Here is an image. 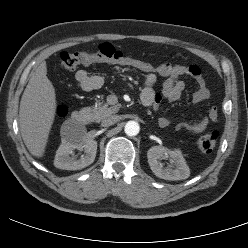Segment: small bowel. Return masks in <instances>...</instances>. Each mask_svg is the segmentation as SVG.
<instances>
[{
  "mask_svg": "<svg viewBox=\"0 0 248 248\" xmlns=\"http://www.w3.org/2000/svg\"><path fill=\"white\" fill-rule=\"evenodd\" d=\"M183 75L191 76L196 84L197 90L192 95L194 103L206 102L210 99V92L207 88L203 72L200 66L196 64H171L162 63L157 65L153 72L144 73V88L141 93V99L147 101L149 106L158 109L162 99L169 102L177 101L181 98L185 88L184 82L180 79ZM158 76L165 77L161 93L154 90V85ZM75 79L79 88L84 91L99 89L103 85V78L95 75L88 70L81 69L75 74ZM218 119V109L210 106L208 112L198 120H183L177 124L178 130H186L192 134L204 131L211 122ZM171 120L167 117H160L158 125L162 128L168 127Z\"/></svg>",
  "mask_w": 248,
  "mask_h": 248,
  "instance_id": "1",
  "label": "small bowel"
}]
</instances>
